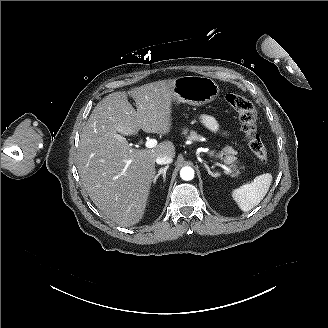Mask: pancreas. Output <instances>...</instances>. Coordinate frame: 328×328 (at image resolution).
<instances>
[{
	"instance_id": "cf45deb5",
	"label": "pancreas",
	"mask_w": 328,
	"mask_h": 328,
	"mask_svg": "<svg viewBox=\"0 0 328 328\" xmlns=\"http://www.w3.org/2000/svg\"><path fill=\"white\" fill-rule=\"evenodd\" d=\"M187 133H188V129H184L182 132V134L184 135H186ZM187 138L192 141H199L202 138V136L197 134V132L195 131H190V135ZM236 154L237 152L231 146H226L222 149V151L218 155L219 157H222L223 155L225 156L223 158V161L225 164L230 165V167L233 169L232 171L233 176H237L240 173L239 170H237V166L234 164V162L237 161V157L235 156ZM209 155L214 156V151H211Z\"/></svg>"
}]
</instances>
